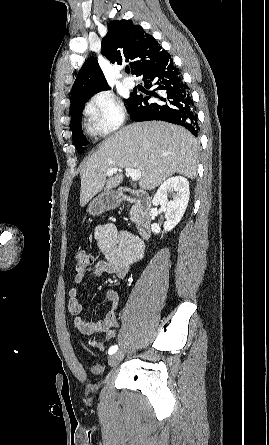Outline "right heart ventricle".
Here are the masks:
<instances>
[{"mask_svg":"<svg viewBox=\"0 0 269 445\" xmlns=\"http://www.w3.org/2000/svg\"><path fill=\"white\" fill-rule=\"evenodd\" d=\"M87 131L90 134H96L97 132H99L97 127L93 123H91V122L87 123Z\"/></svg>","mask_w":269,"mask_h":445,"instance_id":"right-heart-ventricle-1","label":"right heart ventricle"}]
</instances>
